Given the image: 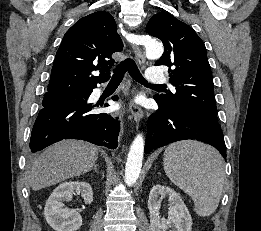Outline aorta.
I'll return each mask as SVG.
<instances>
[{"mask_svg":"<svg viewBox=\"0 0 261 231\" xmlns=\"http://www.w3.org/2000/svg\"><path fill=\"white\" fill-rule=\"evenodd\" d=\"M146 57L148 59H158L163 54V45L159 42H149L145 46ZM144 153V139L142 134H138L131 144L126 167H125V182L128 186L136 183L142 168V160Z\"/></svg>","mask_w":261,"mask_h":231,"instance_id":"obj_1","label":"aorta"}]
</instances>
